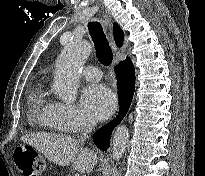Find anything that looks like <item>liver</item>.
Returning <instances> with one entry per match:
<instances>
[{
	"label": "liver",
	"mask_w": 205,
	"mask_h": 176,
	"mask_svg": "<svg viewBox=\"0 0 205 176\" xmlns=\"http://www.w3.org/2000/svg\"><path fill=\"white\" fill-rule=\"evenodd\" d=\"M21 141L40 151L48 160L60 166L72 164L74 170L89 173L97 164L94 151L83 148L77 139L51 133H32L21 137Z\"/></svg>",
	"instance_id": "liver-1"
}]
</instances>
